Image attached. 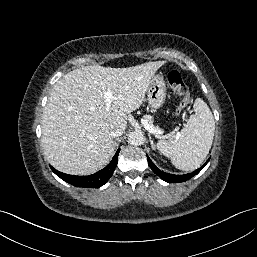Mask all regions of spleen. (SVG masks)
Returning <instances> with one entry per match:
<instances>
[{
  "label": "spleen",
  "instance_id": "1",
  "mask_svg": "<svg viewBox=\"0 0 257 257\" xmlns=\"http://www.w3.org/2000/svg\"><path fill=\"white\" fill-rule=\"evenodd\" d=\"M195 114L191 115L185 127L175 139L160 140L158 150L171 159L180 170L197 169L212 146L215 121L208 105L197 98L194 102Z\"/></svg>",
  "mask_w": 257,
  "mask_h": 257
}]
</instances>
